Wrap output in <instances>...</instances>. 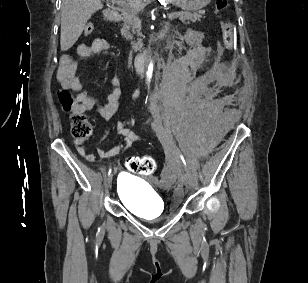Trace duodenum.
<instances>
[{
  "label": "duodenum",
  "instance_id": "410a0bca",
  "mask_svg": "<svg viewBox=\"0 0 308 283\" xmlns=\"http://www.w3.org/2000/svg\"><path fill=\"white\" fill-rule=\"evenodd\" d=\"M106 20L109 22L117 23L121 20V15L117 11L108 12L106 15ZM145 54L139 53L136 55L134 64L137 72H140L144 67Z\"/></svg>",
  "mask_w": 308,
  "mask_h": 283
}]
</instances>
